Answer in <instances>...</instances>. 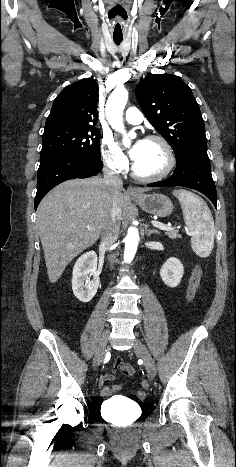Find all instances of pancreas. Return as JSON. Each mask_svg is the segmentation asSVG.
I'll return each instance as SVG.
<instances>
[{"instance_id": "obj_1", "label": "pancreas", "mask_w": 236, "mask_h": 467, "mask_svg": "<svg viewBox=\"0 0 236 467\" xmlns=\"http://www.w3.org/2000/svg\"><path fill=\"white\" fill-rule=\"evenodd\" d=\"M166 235L171 239H176L177 237H179L177 231L166 232Z\"/></svg>"}]
</instances>
